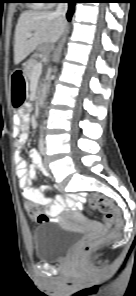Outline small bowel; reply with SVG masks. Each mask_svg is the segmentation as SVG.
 I'll list each match as a JSON object with an SVG mask.
<instances>
[{"label":"small bowel","mask_w":136,"mask_h":296,"mask_svg":"<svg viewBox=\"0 0 136 296\" xmlns=\"http://www.w3.org/2000/svg\"><path fill=\"white\" fill-rule=\"evenodd\" d=\"M29 105H25L14 116L13 121L20 133L16 139L18 152L15 156L16 172L19 178V187L21 195L25 200L40 204L44 207V215L49 222H56L65 209L76 210L78 200L83 201L82 197L74 194L51 196V190L42 187H34L36 170H39L45 177H50L48 170L42 165L41 157L38 151H31L30 156L33 160V166L28 167L25 158L20 154V149L26 143L28 133V112Z\"/></svg>","instance_id":"obj_1"}]
</instances>
